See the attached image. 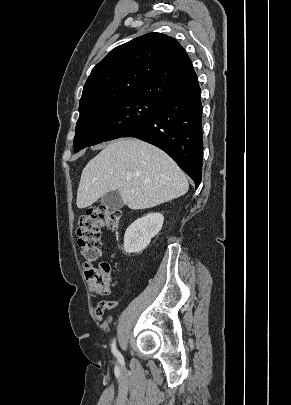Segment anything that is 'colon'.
I'll return each mask as SVG.
<instances>
[{
    "label": "colon",
    "instance_id": "5ec220e1",
    "mask_svg": "<svg viewBox=\"0 0 291 405\" xmlns=\"http://www.w3.org/2000/svg\"><path fill=\"white\" fill-rule=\"evenodd\" d=\"M121 221L119 210L94 207L83 215L78 224V246L84 262V273L90 290L97 295H108L114 282L107 262L95 264L101 257V230H116Z\"/></svg>",
    "mask_w": 291,
    "mask_h": 405
}]
</instances>
